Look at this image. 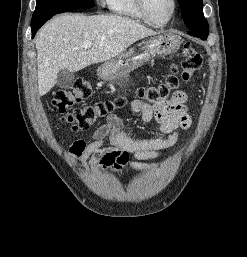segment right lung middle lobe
Returning a JSON list of instances; mask_svg holds the SVG:
<instances>
[{"mask_svg": "<svg viewBox=\"0 0 247 257\" xmlns=\"http://www.w3.org/2000/svg\"><path fill=\"white\" fill-rule=\"evenodd\" d=\"M94 7V0H37L32 21L58 13Z\"/></svg>", "mask_w": 247, "mask_h": 257, "instance_id": "1", "label": "right lung middle lobe"}]
</instances>
